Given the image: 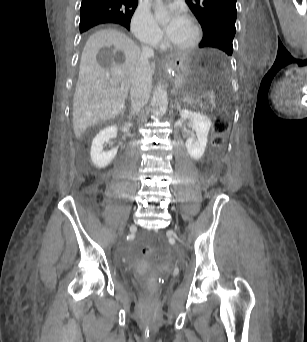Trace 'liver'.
<instances>
[{"mask_svg": "<svg viewBox=\"0 0 307 342\" xmlns=\"http://www.w3.org/2000/svg\"><path fill=\"white\" fill-rule=\"evenodd\" d=\"M140 48L119 30H100L84 46L73 102V128L80 138L87 128L121 114ZM154 74L155 62L150 64Z\"/></svg>", "mask_w": 307, "mask_h": 342, "instance_id": "obj_1", "label": "liver"}]
</instances>
